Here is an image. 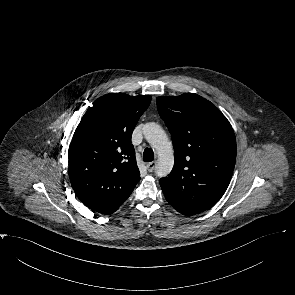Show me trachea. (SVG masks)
Listing matches in <instances>:
<instances>
[{
	"label": "trachea",
	"instance_id": "trachea-1",
	"mask_svg": "<svg viewBox=\"0 0 295 295\" xmlns=\"http://www.w3.org/2000/svg\"><path fill=\"white\" fill-rule=\"evenodd\" d=\"M144 162H151L154 160V153L151 148H146L143 153Z\"/></svg>",
	"mask_w": 295,
	"mask_h": 295
}]
</instances>
